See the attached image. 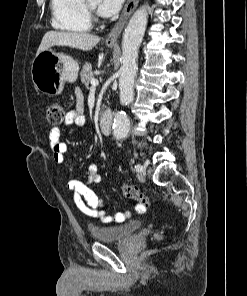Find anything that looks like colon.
Masks as SVG:
<instances>
[{
  "instance_id": "colon-1",
  "label": "colon",
  "mask_w": 247,
  "mask_h": 296,
  "mask_svg": "<svg viewBox=\"0 0 247 296\" xmlns=\"http://www.w3.org/2000/svg\"><path fill=\"white\" fill-rule=\"evenodd\" d=\"M45 118L48 124L52 126H59L63 123L65 118L64 108L58 103H51L47 106L45 111ZM123 195L132 200L140 202L144 206H149L152 201L149 197L143 195L136 187L123 184L122 185ZM157 238L161 237L160 233H157Z\"/></svg>"
}]
</instances>
